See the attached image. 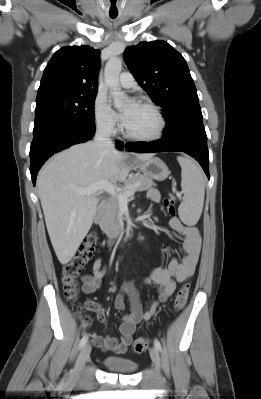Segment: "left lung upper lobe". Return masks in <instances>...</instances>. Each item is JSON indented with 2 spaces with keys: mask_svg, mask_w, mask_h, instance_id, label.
Returning <instances> with one entry per match:
<instances>
[{
  "mask_svg": "<svg viewBox=\"0 0 261 399\" xmlns=\"http://www.w3.org/2000/svg\"><path fill=\"white\" fill-rule=\"evenodd\" d=\"M125 62L138 84L163 108L164 136L203 123L197 90L183 56L164 41L127 47Z\"/></svg>",
  "mask_w": 261,
  "mask_h": 399,
  "instance_id": "1",
  "label": "left lung upper lobe"
}]
</instances>
